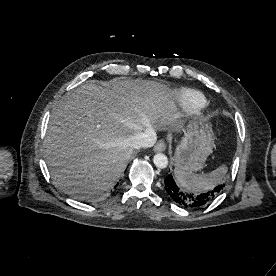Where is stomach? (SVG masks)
<instances>
[{"instance_id":"1","label":"stomach","mask_w":276,"mask_h":276,"mask_svg":"<svg viewBox=\"0 0 276 276\" xmlns=\"http://www.w3.org/2000/svg\"><path fill=\"white\" fill-rule=\"evenodd\" d=\"M214 140V133L209 124H189L172 158L176 169L190 173L201 170L215 146Z\"/></svg>"}]
</instances>
